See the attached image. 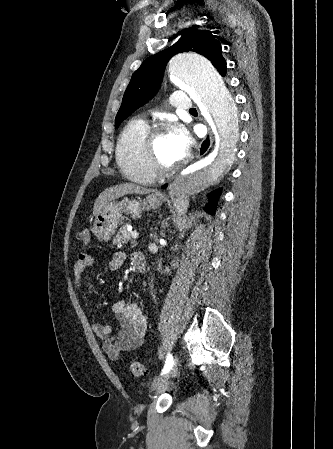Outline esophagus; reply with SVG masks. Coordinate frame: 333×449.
<instances>
[{"mask_svg": "<svg viewBox=\"0 0 333 449\" xmlns=\"http://www.w3.org/2000/svg\"><path fill=\"white\" fill-rule=\"evenodd\" d=\"M212 143H213V134L211 131H209L208 134L206 135V137L203 139V141L200 144L198 156L201 157L204 154H206L207 151L211 148Z\"/></svg>", "mask_w": 333, "mask_h": 449, "instance_id": "obj_1", "label": "esophagus"}]
</instances>
